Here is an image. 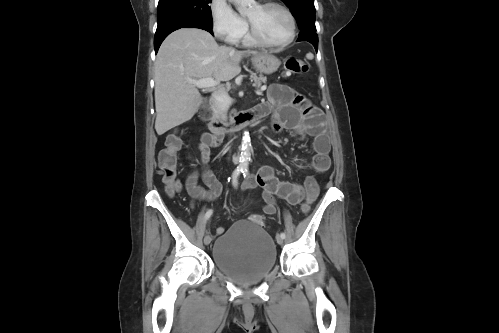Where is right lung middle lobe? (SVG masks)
<instances>
[{
  "label": "right lung middle lobe",
  "instance_id": "right-lung-middle-lobe-1",
  "mask_svg": "<svg viewBox=\"0 0 499 333\" xmlns=\"http://www.w3.org/2000/svg\"><path fill=\"white\" fill-rule=\"evenodd\" d=\"M212 0H159L157 8V30L166 26L185 23L201 22L212 25Z\"/></svg>",
  "mask_w": 499,
  "mask_h": 333
}]
</instances>
